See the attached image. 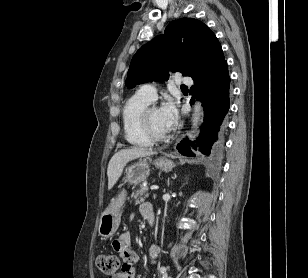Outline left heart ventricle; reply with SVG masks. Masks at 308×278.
Returning <instances> with one entry per match:
<instances>
[{
	"mask_svg": "<svg viewBox=\"0 0 308 278\" xmlns=\"http://www.w3.org/2000/svg\"><path fill=\"white\" fill-rule=\"evenodd\" d=\"M150 125L153 131L159 135L166 134V131L161 123L159 109L153 110L149 115Z\"/></svg>",
	"mask_w": 308,
	"mask_h": 278,
	"instance_id": "left-heart-ventricle-1",
	"label": "left heart ventricle"
}]
</instances>
